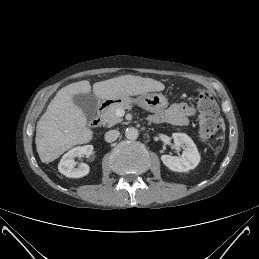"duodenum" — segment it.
<instances>
[{
	"label": "duodenum",
	"mask_w": 259,
	"mask_h": 259,
	"mask_svg": "<svg viewBox=\"0 0 259 259\" xmlns=\"http://www.w3.org/2000/svg\"><path fill=\"white\" fill-rule=\"evenodd\" d=\"M111 101H103L99 104L97 108L96 115L91 120L90 124L92 127H98L102 122V114L105 109L111 104Z\"/></svg>",
	"instance_id": "410a0bca"
}]
</instances>
